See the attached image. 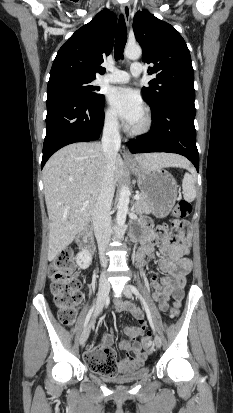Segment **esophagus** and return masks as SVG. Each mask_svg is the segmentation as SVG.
<instances>
[{"label":"esophagus","mask_w":233,"mask_h":413,"mask_svg":"<svg viewBox=\"0 0 233 413\" xmlns=\"http://www.w3.org/2000/svg\"><path fill=\"white\" fill-rule=\"evenodd\" d=\"M121 12L123 14L124 21H125L126 25L128 26L129 25V20H130V15H131V8H130L129 3H123L121 5ZM123 151H124V153H123L124 159L126 161H131L132 156H131L129 148L126 144L123 146Z\"/></svg>","instance_id":"esophagus-1"}]
</instances>
